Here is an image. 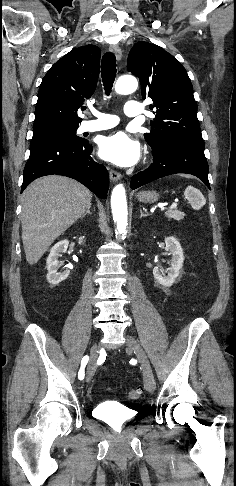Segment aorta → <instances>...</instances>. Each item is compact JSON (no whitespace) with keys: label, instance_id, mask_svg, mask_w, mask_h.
I'll return each instance as SVG.
<instances>
[{"label":"aorta","instance_id":"obj_1","mask_svg":"<svg viewBox=\"0 0 236 486\" xmlns=\"http://www.w3.org/2000/svg\"><path fill=\"white\" fill-rule=\"evenodd\" d=\"M138 87V82L133 76L120 77L115 85V91L118 94H130L134 92ZM111 208L113 219L117 224V233L125 238L127 234V200L125 188L122 184H118L114 187L111 195Z\"/></svg>","mask_w":236,"mask_h":486}]
</instances>
